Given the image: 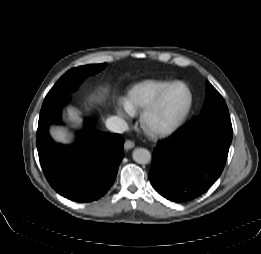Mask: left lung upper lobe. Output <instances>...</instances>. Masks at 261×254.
<instances>
[{
    "mask_svg": "<svg viewBox=\"0 0 261 254\" xmlns=\"http://www.w3.org/2000/svg\"><path fill=\"white\" fill-rule=\"evenodd\" d=\"M209 122L231 123L229 111L223 97L209 83H206V100L198 116L188 124L189 127H198Z\"/></svg>",
    "mask_w": 261,
    "mask_h": 254,
    "instance_id": "5c2ea615",
    "label": "left lung upper lobe"
}]
</instances>
